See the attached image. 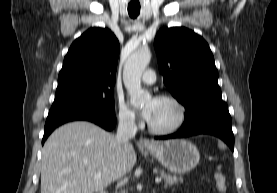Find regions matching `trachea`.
<instances>
[{
	"instance_id": "1",
	"label": "trachea",
	"mask_w": 277,
	"mask_h": 193,
	"mask_svg": "<svg viewBox=\"0 0 277 193\" xmlns=\"http://www.w3.org/2000/svg\"><path fill=\"white\" fill-rule=\"evenodd\" d=\"M128 13L130 17L136 18L140 13V6L139 5H128Z\"/></svg>"
}]
</instances>
